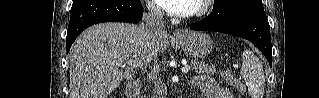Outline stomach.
Masks as SVG:
<instances>
[{"mask_svg": "<svg viewBox=\"0 0 319 98\" xmlns=\"http://www.w3.org/2000/svg\"><path fill=\"white\" fill-rule=\"evenodd\" d=\"M183 51L193 58H205L212 51V40L204 32L188 31L179 39Z\"/></svg>", "mask_w": 319, "mask_h": 98, "instance_id": "stomach-1", "label": "stomach"}]
</instances>
